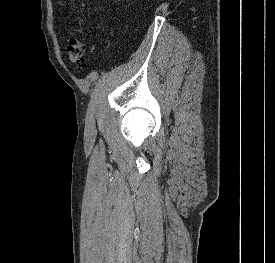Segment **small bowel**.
Listing matches in <instances>:
<instances>
[{"label": "small bowel", "mask_w": 275, "mask_h": 263, "mask_svg": "<svg viewBox=\"0 0 275 263\" xmlns=\"http://www.w3.org/2000/svg\"><path fill=\"white\" fill-rule=\"evenodd\" d=\"M72 1V3H74L75 2V0H71Z\"/></svg>", "instance_id": "1"}]
</instances>
